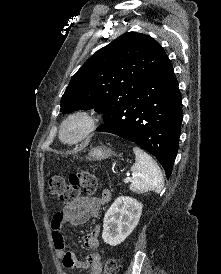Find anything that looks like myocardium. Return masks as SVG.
I'll return each mask as SVG.
<instances>
[{
	"label": "myocardium",
	"mask_w": 221,
	"mask_h": 274,
	"mask_svg": "<svg viewBox=\"0 0 221 274\" xmlns=\"http://www.w3.org/2000/svg\"><path fill=\"white\" fill-rule=\"evenodd\" d=\"M77 126L73 136H68L70 127ZM97 127V118L92 111L76 110L68 114L61 122L58 131L59 140L66 145H75L85 140Z\"/></svg>",
	"instance_id": "f54148a6"
}]
</instances>
